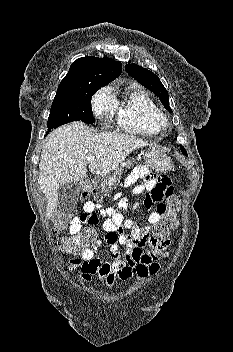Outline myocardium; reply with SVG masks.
I'll use <instances>...</instances> for the list:
<instances>
[{"label":"myocardium","instance_id":"1","mask_svg":"<svg viewBox=\"0 0 233 352\" xmlns=\"http://www.w3.org/2000/svg\"><path fill=\"white\" fill-rule=\"evenodd\" d=\"M159 123L161 124L162 127L166 125V117L163 114H161L160 116Z\"/></svg>","mask_w":233,"mask_h":352}]
</instances>
